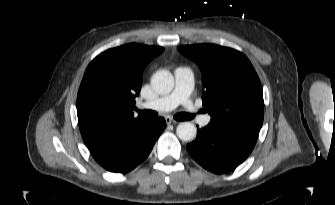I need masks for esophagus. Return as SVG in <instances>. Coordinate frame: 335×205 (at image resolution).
Masks as SVG:
<instances>
[{
    "mask_svg": "<svg viewBox=\"0 0 335 205\" xmlns=\"http://www.w3.org/2000/svg\"><path fill=\"white\" fill-rule=\"evenodd\" d=\"M165 121H166L167 124H171V123L176 124V123H178L176 120H174L170 116L165 117Z\"/></svg>",
    "mask_w": 335,
    "mask_h": 205,
    "instance_id": "obj_1",
    "label": "esophagus"
}]
</instances>
